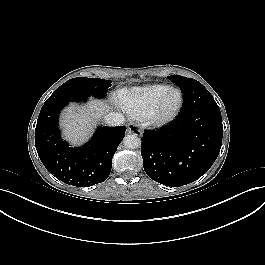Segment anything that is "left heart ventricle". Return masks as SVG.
Returning a JSON list of instances; mask_svg holds the SVG:
<instances>
[{
    "mask_svg": "<svg viewBox=\"0 0 265 265\" xmlns=\"http://www.w3.org/2000/svg\"><path fill=\"white\" fill-rule=\"evenodd\" d=\"M178 101V94L175 92H170L164 102L163 109L165 111L171 110Z\"/></svg>",
    "mask_w": 265,
    "mask_h": 265,
    "instance_id": "left-heart-ventricle-1",
    "label": "left heart ventricle"
}]
</instances>
